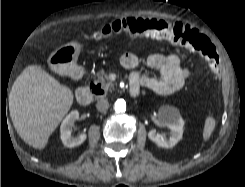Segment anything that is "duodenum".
<instances>
[{
    "instance_id": "duodenum-1",
    "label": "duodenum",
    "mask_w": 245,
    "mask_h": 187,
    "mask_svg": "<svg viewBox=\"0 0 245 187\" xmlns=\"http://www.w3.org/2000/svg\"><path fill=\"white\" fill-rule=\"evenodd\" d=\"M77 76H81L82 74V70L81 68H78L76 70V73H75ZM138 88L135 87L133 89V92L134 94L132 95H137L138 93ZM131 92V90H130ZM100 93V88L98 86H95L93 84H90L89 86L87 87H80L76 90V93H75V98H76V101L79 103V104H82V105H85V104H88L89 102H91V100L93 99V97L95 95H98Z\"/></svg>"
}]
</instances>
